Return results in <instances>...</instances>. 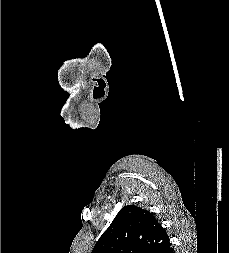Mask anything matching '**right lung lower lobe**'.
Segmentation results:
<instances>
[{
  "label": "right lung lower lobe",
  "instance_id": "right-lung-lower-lobe-1",
  "mask_svg": "<svg viewBox=\"0 0 229 253\" xmlns=\"http://www.w3.org/2000/svg\"><path fill=\"white\" fill-rule=\"evenodd\" d=\"M161 253H174L171 243L165 249H163Z\"/></svg>",
  "mask_w": 229,
  "mask_h": 253
}]
</instances>
